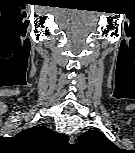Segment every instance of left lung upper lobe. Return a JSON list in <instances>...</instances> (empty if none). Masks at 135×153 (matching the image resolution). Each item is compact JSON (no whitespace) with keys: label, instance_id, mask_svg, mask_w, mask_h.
Segmentation results:
<instances>
[{"label":"left lung upper lobe","instance_id":"obj_1","mask_svg":"<svg viewBox=\"0 0 135 153\" xmlns=\"http://www.w3.org/2000/svg\"><path fill=\"white\" fill-rule=\"evenodd\" d=\"M77 144L93 153H112L118 149L102 132L96 130L85 132L78 138Z\"/></svg>","mask_w":135,"mask_h":153}]
</instances>
